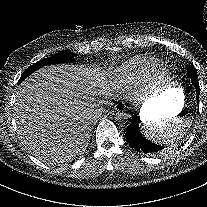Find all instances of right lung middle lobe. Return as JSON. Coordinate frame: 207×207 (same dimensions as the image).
Wrapping results in <instances>:
<instances>
[{
    "mask_svg": "<svg viewBox=\"0 0 207 207\" xmlns=\"http://www.w3.org/2000/svg\"><path fill=\"white\" fill-rule=\"evenodd\" d=\"M75 54L69 51H60L53 56L42 59L35 64L31 65L26 71L22 74L18 81V85L31 73L40 69L41 67L50 65V64H59V63H72L74 61Z\"/></svg>",
    "mask_w": 207,
    "mask_h": 207,
    "instance_id": "obj_1",
    "label": "right lung middle lobe"
}]
</instances>
